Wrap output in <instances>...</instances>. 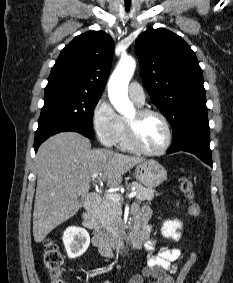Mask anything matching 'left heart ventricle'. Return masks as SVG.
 Instances as JSON below:
<instances>
[{"mask_svg": "<svg viewBox=\"0 0 233 283\" xmlns=\"http://www.w3.org/2000/svg\"><path fill=\"white\" fill-rule=\"evenodd\" d=\"M136 111L127 120H134ZM138 139L149 150L160 149L167 140V130L163 121L154 115L143 118L138 124Z\"/></svg>", "mask_w": 233, "mask_h": 283, "instance_id": "left-heart-ventricle-1", "label": "left heart ventricle"}]
</instances>
